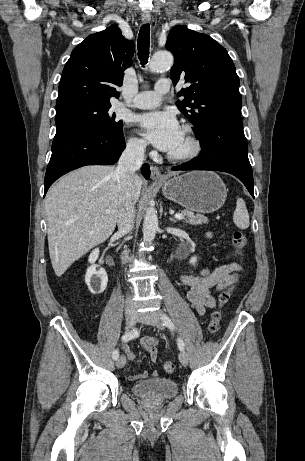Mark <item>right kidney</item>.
<instances>
[{
    "label": "right kidney",
    "instance_id": "right-kidney-1",
    "mask_svg": "<svg viewBox=\"0 0 305 461\" xmlns=\"http://www.w3.org/2000/svg\"><path fill=\"white\" fill-rule=\"evenodd\" d=\"M98 256L99 249L96 248L89 255L88 261L91 266L87 269L85 274V282L92 294L102 293L106 289L108 283L106 271L103 268H97V265H95Z\"/></svg>",
    "mask_w": 305,
    "mask_h": 461
}]
</instances>
